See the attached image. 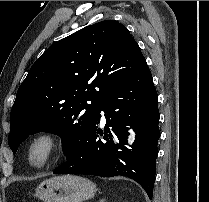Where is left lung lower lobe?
I'll return each mask as SVG.
<instances>
[{
    "mask_svg": "<svg viewBox=\"0 0 209 202\" xmlns=\"http://www.w3.org/2000/svg\"><path fill=\"white\" fill-rule=\"evenodd\" d=\"M101 111L106 118L104 130L96 126ZM159 118L157 92L145 63L97 104L84 138L70 149L67 161L53 173L125 176L139 183L152 199ZM127 125L137 134L132 150L125 147Z\"/></svg>",
    "mask_w": 209,
    "mask_h": 202,
    "instance_id": "0a47b994",
    "label": "left lung lower lobe"
}]
</instances>
